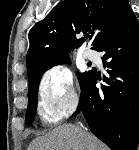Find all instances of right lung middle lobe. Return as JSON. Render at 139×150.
<instances>
[{
  "label": "right lung middle lobe",
  "instance_id": "dd1d6c3e",
  "mask_svg": "<svg viewBox=\"0 0 139 150\" xmlns=\"http://www.w3.org/2000/svg\"><path fill=\"white\" fill-rule=\"evenodd\" d=\"M69 62V57H65L59 60H56L41 69H39L31 78H29V90H28V108L26 112V122L28 125H30L35 118L36 114V108H37V95H38V86L40 83V79L43 75V73L50 69L51 67ZM93 70L85 72V73H77L78 79L81 82L85 81L89 75L92 73Z\"/></svg>",
  "mask_w": 139,
  "mask_h": 150
}]
</instances>
